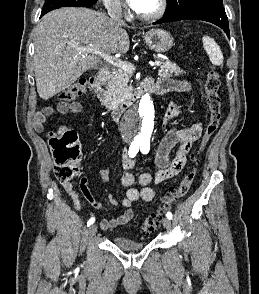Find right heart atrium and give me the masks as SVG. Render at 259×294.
Returning <instances> with one entry per match:
<instances>
[{
  "label": "right heart atrium",
  "instance_id": "1",
  "mask_svg": "<svg viewBox=\"0 0 259 294\" xmlns=\"http://www.w3.org/2000/svg\"><path fill=\"white\" fill-rule=\"evenodd\" d=\"M103 2L111 14L122 15L125 12V7L120 0H103Z\"/></svg>",
  "mask_w": 259,
  "mask_h": 294
}]
</instances>
